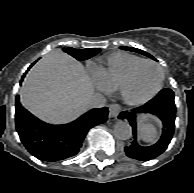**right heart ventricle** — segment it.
Listing matches in <instances>:
<instances>
[{
	"instance_id": "right-heart-ventricle-1",
	"label": "right heart ventricle",
	"mask_w": 194,
	"mask_h": 193,
	"mask_svg": "<svg viewBox=\"0 0 194 193\" xmlns=\"http://www.w3.org/2000/svg\"><path fill=\"white\" fill-rule=\"evenodd\" d=\"M141 60L143 58L139 56L118 51L101 59L97 65V69L102 79L110 88L117 89L127 71Z\"/></svg>"
}]
</instances>
